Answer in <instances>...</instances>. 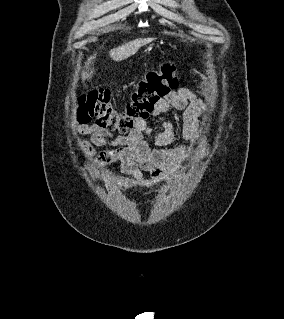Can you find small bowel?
Instances as JSON below:
<instances>
[{"label":"small bowel","instance_id":"c3829d8e","mask_svg":"<svg viewBox=\"0 0 284 319\" xmlns=\"http://www.w3.org/2000/svg\"><path fill=\"white\" fill-rule=\"evenodd\" d=\"M171 108L183 112L182 138L190 143H197L202 136L200 118L206 111V104L189 89L181 88L160 99L151 113L152 117L161 121L162 129L159 133H153L146 120L138 122L128 135L119 136L97 124L81 125L77 129L78 133L90 135L91 141L80 139L77 143L78 149L85 158H96V169L119 162L123 174L142 188L151 190L163 183L167 177L180 172L181 149L169 148L177 133L173 124L164 117ZM149 141H152L154 146ZM105 144L114 148L96 156L93 145ZM144 173H148L150 179Z\"/></svg>","mask_w":284,"mask_h":319}]
</instances>
